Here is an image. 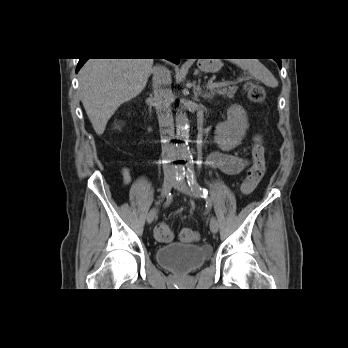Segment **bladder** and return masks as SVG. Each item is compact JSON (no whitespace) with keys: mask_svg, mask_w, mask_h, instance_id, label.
I'll list each match as a JSON object with an SVG mask.
<instances>
[{"mask_svg":"<svg viewBox=\"0 0 348 348\" xmlns=\"http://www.w3.org/2000/svg\"><path fill=\"white\" fill-rule=\"evenodd\" d=\"M210 255L209 248L198 244L169 243L156 249L158 263L178 274L192 272Z\"/></svg>","mask_w":348,"mask_h":348,"instance_id":"31cf9c89","label":"bladder"}]
</instances>
